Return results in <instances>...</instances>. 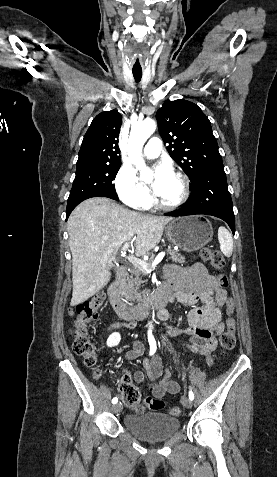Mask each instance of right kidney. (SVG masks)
<instances>
[{"label": "right kidney", "mask_w": 277, "mask_h": 477, "mask_svg": "<svg viewBox=\"0 0 277 477\" xmlns=\"http://www.w3.org/2000/svg\"><path fill=\"white\" fill-rule=\"evenodd\" d=\"M121 336L119 333L115 332L112 333L109 338L107 339V346L108 347H115L120 343Z\"/></svg>", "instance_id": "right-kidney-1"}]
</instances>
